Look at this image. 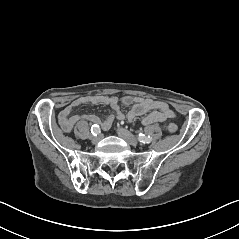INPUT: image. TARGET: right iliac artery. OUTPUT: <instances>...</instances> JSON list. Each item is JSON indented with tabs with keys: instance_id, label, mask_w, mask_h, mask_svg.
Returning <instances> with one entry per match:
<instances>
[{
	"instance_id": "1",
	"label": "right iliac artery",
	"mask_w": 239,
	"mask_h": 239,
	"mask_svg": "<svg viewBox=\"0 0 239 239\" xmlns=\"http://www.w3.org/2000/svg\"><path fill=\"white\" fill-rule=\"evenodd\" d=\"M100 132H101V129H100V127H99L98 125H96V124L92 125V127H91V133H92L94 136L99 135Z\"/></svg>"
}]
</instances>
